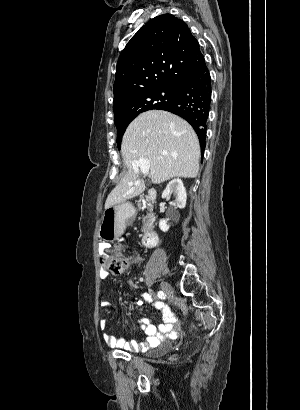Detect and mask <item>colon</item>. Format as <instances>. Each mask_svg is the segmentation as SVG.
I'll return each instance as SVG.
<instances>
[{
	"instance_id": "colon-1",
	"label": "colon",
	"mask_w": 300,
	"mask_h": 410,
	"mask_svg": "<svg viewBox=\"0 0 300 410\" xmlns=\"http://www.w3.org/2000/svg\"><path fill=\"white\" fill-rule=\"evenodd\" d=\"M138 261L137 257H126L115 254H103L100 256V265L103 270L114 274L125 273L129 267Z\"/></svg>"
}]
</instances>
